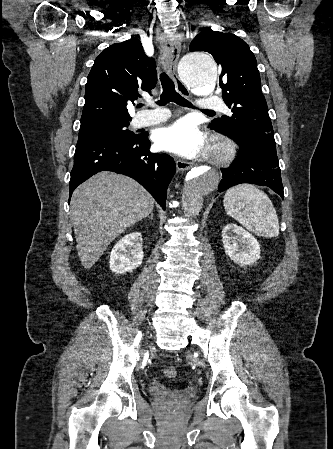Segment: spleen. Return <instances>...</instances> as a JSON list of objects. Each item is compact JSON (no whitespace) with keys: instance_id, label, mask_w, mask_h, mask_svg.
Listing matches in <instances>:
<instances>
[{"instance_id":"3e777b00","label":"spleen","mask_w":333,"mask_h":449,"mask_svg":"<svg viewBox=\"0 0 333 449\" xmlns=\"http://www.w3.org/2000/svg\"><path fill=\"white\" fill-rule=\"evenodd\" d=\"M223 205L226 213L254 234L276 237L279 221L276 210L265 192L251 184L227 190Z\"/></svg>"}]
</instances>
